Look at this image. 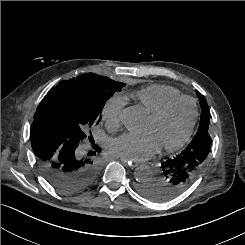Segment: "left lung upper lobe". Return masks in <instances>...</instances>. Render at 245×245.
Here are the masks:
<instances>
[{
    "mask_svg": "<svg viewBox=\"0 0 245 245\" xmlns=\"http://www.w3.org/2000/svg\"><path fill=\"white\" fill-rule=\"evenodd\" d=\"M196 94L199 97L202 114L200 117V124L198 128V132L196 133L194 137L209 133V124H210V119H211L210 110L205 100V97L201 93H199L197 90H196Z\"/></svg>",
    "mask_w": 245,
    "mask_h": 245,
    "instance_id": "5c2ea615",
    "label": "left lung upper lobe"
}]
</instances>
